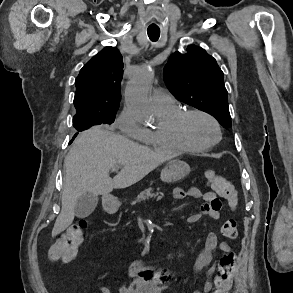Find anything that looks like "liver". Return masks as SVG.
<instances>
[{
  "label": "liver",
  "instance_id": "6515ba94",
  "mask_svg": "<svg viewBox=\"0 0 293 293\" xmlns=\"http://www.w3.org/2000/svg\"><path fill=\"white\" fill-rule=\"evenodd\" d=\"M171 158L170 153L155 152L101 127L80 133L64 161L62 209L52 235L56 236L72 224L76 202L83 194L105 196L113 189L127 188ZM116 166L121 170L111 178L109 171Z\"/></svg>",
  "mask_w": 293,
  "mask_h": 293
}]
</instances>
